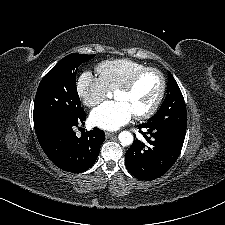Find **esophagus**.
I'll use <instances>...</instances> for the list:
<instances>
[{"mask_svg": "<svg viewBox=\"0 0 225 225\" xmlns=\"http://www.w3.org/2000/svg\"><path fill=\"white\" fill-rule=\"evenodd\" d=\"M105 134H106V137H111V136H113V135H115L116 134V132H105Z\"/></svg>", "mask_w": 225, "mask_h": 225, "instance_id": "esophagus-1", "label": "esophagus"}]
</instances>
